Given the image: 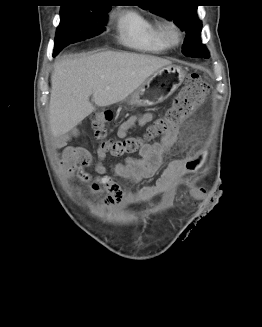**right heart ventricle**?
<instances>
[{"label": "right heart ventricle", "mask_w": 262, "mask_h": 327, "mask_svg": "<svg viewBox=\"0 0 262 327\" xmlns=\"http://www.w3.org/2000/svg\"><path fill=\"white\" fill-rule=\"evenodd\" d=\"M116 32L118 41L133 50L163 53L170 49L162 36L160 23L135 10L119 13Z\"/></svg>", "instance_id": "right-heart-ventricle-1"}]
</instances>
